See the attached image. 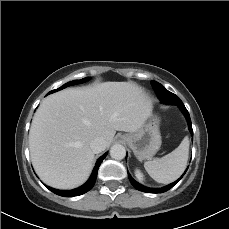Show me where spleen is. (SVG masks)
Masks as SVG:
<instances>
[{"label":"spleen","mask_w":229,"mask_h":229,"mask_svg":"<svg viewBox=\"0 0 229 229\" xmlns=\"http://www.w3.org/2000/svg\"><path fill=\"white\" fill-rule=\"evenodd\" d=\"M189 154V140L185 137L180 145L162 158L144 163L145 170L158 183L168 184L184 172Z\"/></svg>","instance_id":"spleen-1"}]
</instances>
